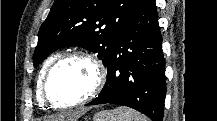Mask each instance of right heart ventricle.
<instances>
[{
    "label": "right heart ventricle",
    "mask_w": 217,
    "mask_h": 121,
    "mask_svg": "<svg viewBox=\"0 0 217 121\" xmlns=\"http://www.w3.org/2000/svg\"><path fill=\"white\" fill-rule=\"evenodd\" d=\"M60 56L59 53H54L52 55H50L46 60L45 62L43 63L42 65V68L39 72V76H38V80H37V100L39 102L40 105L42 106H46L47 103L43 97V94H42V84H43V80H44V77H45V74L47 72V70L49 69V67L52 65V63Z\"/></svg>",
    "instance_id": "obj_1"
}]
</instances>
